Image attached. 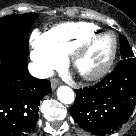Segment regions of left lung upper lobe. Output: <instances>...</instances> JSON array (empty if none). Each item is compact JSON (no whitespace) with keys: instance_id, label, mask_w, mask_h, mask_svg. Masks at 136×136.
<instances>
[{"instance_id":"5c2ea615","label":"left lung upper lobe","mask_w":136,"mask_h":136,"mask_svg":"<svg viewBox=\"0 0 136 136\" xmlns=\"http://www.w3.org/2000/svg\"><path fill=\"white\" fill-rule=\"evenodd\" d=\"M119 39L122 59L133 58L134 57L133 51L126 38L124 36H120Z\"/></svg>"}]
</instances>
